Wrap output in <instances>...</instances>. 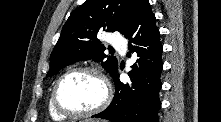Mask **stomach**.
<instances>
[{
	"label": "stomach",
	"mask_w": 221,
	"mask_h": 122,
	"mask_svg": "<svg viewBox=\"0 0 221 122\" xmlns=\"http://www.w3.org/2000/svg\"><path fill=\"white\" fill-rule=\"evenodd\" d=\"M80 122H101V121L95 120V119H86V120H83V121H80Z\"/></svg>",
	"instance_id": "stomach-1"
}]
</instances>
